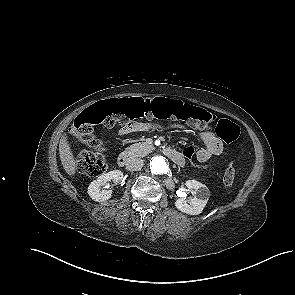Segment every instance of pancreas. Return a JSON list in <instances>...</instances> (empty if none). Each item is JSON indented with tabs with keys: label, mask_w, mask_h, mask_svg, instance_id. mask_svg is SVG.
Segmentation results:
<instances>
[{
	"label": "pancreas",
	"mask_w": 295,
	"mask_h": 295,
	"mask_svg": "<svg viewBox=\"0 0 295 295\" xmlns=\"http://www.w3.org/2000/svg\"><path fill=\"white\" fill-rule=\"evenodd\" d=\"M154 149L155 148L153 145H149L146 142H139V143H135V144L127 147L126 152L130 156L145 157L147 154H149Z\"/></svg>",
	"instance_id": "pancreas-1"
}]
</instances>
